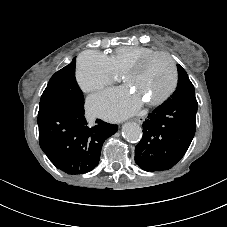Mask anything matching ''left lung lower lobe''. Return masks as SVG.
Listing matches in <instances>:
<instances>
[{"instance_id": "obj_1", "label": "left lung lower lobe", "mask_w": 227, "mask_h": 227, "mask_svg": "<svg viewBox=\"0 0 227 227\" xmlns=\"http://www.w3.org/2000/svg\"><path fill=\"white\" fill-rule=\"evenodd\" d=\"M196 99H170L143 122L135 162L145 171L172 168L186 153L196 130Z\"/></svg>"}]
</instances>
